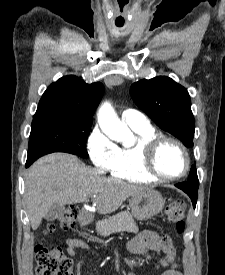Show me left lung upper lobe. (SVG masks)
<instances>
[{"label":"left lung upper lobe","mask_w":225,"mask_h":275,"mask_svg":"<svg viewBox=\"0 0 225 275\" xmlns=\"http://www.w3.org/2000/svg\"><path fill=\"white\" fill-rule=\"evenodd\" d=\"M131 96L161 129L181 140L186 147H193L195 122L188 91L169 77L143 79L130 88ZM188 181L199 183L193 165Z\"/></svg>","instance_id":"obj_1"}]
</instances>
